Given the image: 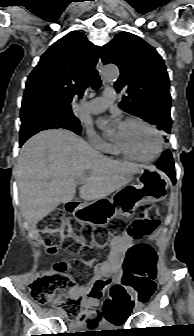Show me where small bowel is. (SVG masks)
Masks as SVG:
<instances>
[{
    "mask_svg": "<svg viewBox=\"0 0 194 336\" xmlns=\"http://www.w3.org/2000/svg\"><path fill=\"white\" fill-rule=\"evenodd\" d=\"M134 243L128 234H122L114 237L110 242L108 258L102 262L92 264L93 277L86 283L80 285L73 293L79 294L84 298V311L81 314L78 322H88L91 326L95 327L103 322L101 311L98 309V298L92 297L90 292L96 286L101 285L108 278L115 277L120 270L123 263L126 261L128 252L134 247ZM153 268L156 275L157 261L154 254ZM147 274L139 273L137 281L134 285H127V292L131 295L152 289V283L149 285L146 281ZM123 279V277H122ZM60 300H58L59 302Z\"/></svg>",
    "mask_w": 194,
    "mask_h": 336,
    "instance_id": "obj_1",
    "label": "small bowel"
}]
</instances>
